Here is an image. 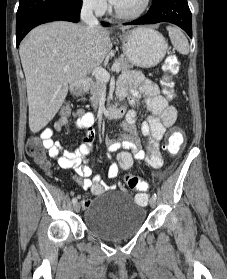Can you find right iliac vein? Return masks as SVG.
<instances>
[{"mask_svg": "<svg viewBox=\"0 0 227 279\" xmlns=\"http://www.w3.org/2000/svg\"><path fill=\"white\" fill-rule=\"evenodd\" d=\"M74 210H75L76 212H78V211L80 210V204H79V203H75V204H74Z\"/></svg>", "mask_w": 227, "mask_h": 279, "instance_id": "obj_1", "label": "right iliac vein"}]
</instances>
